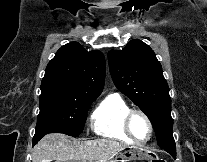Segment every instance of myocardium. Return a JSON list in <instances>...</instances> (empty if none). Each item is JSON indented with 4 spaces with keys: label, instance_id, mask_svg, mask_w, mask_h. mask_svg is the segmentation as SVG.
I'll list each match as a JSON object with an SVG mask.
<instances>
[{
    "label": "myocardium",
    "instance_id": "obj_1",
    "mask_svg": "<svg viewBox=\"0 0 207 162\" xmlns=\"http://www.w3.org/2000/svg\"><path fill=\"white\" fill-rule=\"evenodd\" d=\"M137 115L142 116L144 118V120L146 121V123L148 125V128H149V135L144 140L136 139L134 137L132 131H131V121ZM123 129H124V132L126 133V135L133 142H136V143H146V142H148L152 138V135H153V125H152V122H151L150 118L148 117V115L145 112L141 111V110H134L133 109V110H130L127 113V115L125 116L124 121H123Z\"/></svg>",
    "mask_w": 207,
    "mask_h": 162
}]
</instances>
